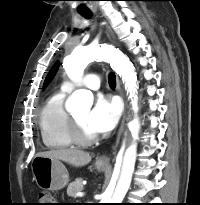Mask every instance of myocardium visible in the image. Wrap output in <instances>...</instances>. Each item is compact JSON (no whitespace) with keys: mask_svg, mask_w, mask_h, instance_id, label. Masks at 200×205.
I'll list each match as a JSON object with an SVG mask.
<instances>
[{"mask_svg":"<svg viewBox=\"0 0 200 205\" xmlns=\"http://www.w3.org/2000/svg\"><path fill=\"white\" fill-rule=\"evenodd\" d=\"M68 129H69L70 138L74 144L80 146H88L95 143L98 140V137L96 135L86 136L82 132L79 123L72 115H69L68 118Z\"/></svg>","mask_w":200,"mask_h":205,"instance_id":"f54148a6","label":"myocardium"}]
</instances>
